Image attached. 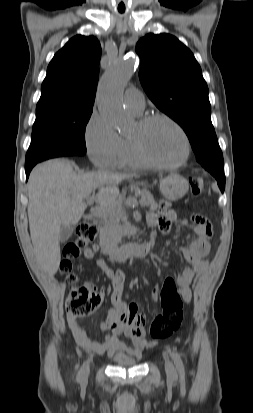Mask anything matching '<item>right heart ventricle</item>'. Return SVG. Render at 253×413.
Here are the masks:
<instances>
[{"mask_svg":"<svg viewBox=\"0 0 253 413\" xmlns=\"http://www.w3.org/2000/svg\"><path fill=\"white\" fill-rule=\"evenodd\" d=\"M122 138V148L114 166L119 168H142L145 165L138 157L132 139L129 137Z\"/></svg>","mask_w":253,"mask_h":413,"instance_id":"right-heart-ventricle-1","label":"right heart ventricle"}]
</instances>
